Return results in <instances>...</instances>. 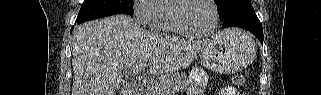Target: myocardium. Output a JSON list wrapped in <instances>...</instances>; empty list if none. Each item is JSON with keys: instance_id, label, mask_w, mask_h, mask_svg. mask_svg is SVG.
Returning <instances> with one entry per match:
<instances>
[{"instance_id": "1", "label": "myocardium", "mask_w": 321, "mask_h": 95, "mask_svg": "<svg viewBox=\"0 0 321 95\" xmlns=\"http://www.w3.org/2000/svg\"><path fill=\"white\" fill-rule=\"evenodd\" d=\"M193 0H175L174 4L170 8L169 12V21L171 25L179 32L190 35V36H208L212 34L217 26H218V20H219V12L218 7L216 5V2L214 0H207L213 8V24L212 26L206 30V31H198L187 25L183 22L181 18V10L185 4Z\"/></svg>"}]
</instances>
